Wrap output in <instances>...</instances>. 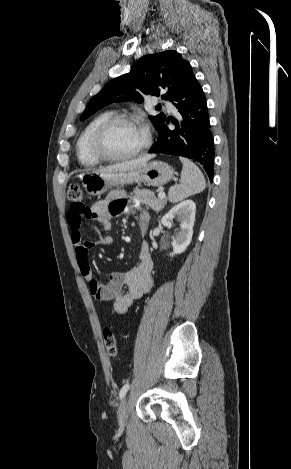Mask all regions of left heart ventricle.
Listing matches in <instances>:
<instances>
[{"instance_id":"b2bd125f","label":"left heart ventricle","mask_w":291,"mask_h":469,"mask_svg":"<svg viewBox=\"0 0 291 469\" xmlns=\"http://www.w3.org/2000/svg\"><path fill=\"white\" fill-rule=\"evenodd\" d=\"M144 130L136 125L119 123L113 126L106 137V147L113 155H127L142 146Z\"/></svg>"}]
</instances>
